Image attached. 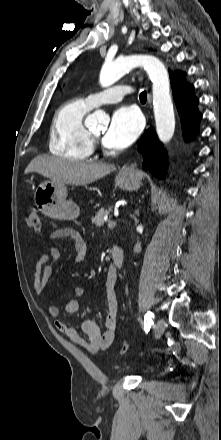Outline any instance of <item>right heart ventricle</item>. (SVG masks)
<instances>
[{"mask_svg": "<svg viewBox=\"0 0 221 440\" xmlns=\"http://www.w3.org/2000/svg\"><path fill=\"white\" fill-rule=\"evenodd\" d=\"M91 105L76 98L65 102L55 113L49 137L50 152L56 156L86 160L93 152V142L84 125V117Z\"/></svg>", "mask_w": 221, "mask_h": 440, "instance_id": "1", "label": "right heart ventricle"}]
</instances>
